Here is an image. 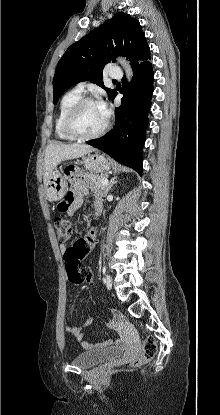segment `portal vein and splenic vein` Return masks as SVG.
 Returning a JSON list of instances; mask_svg holds the SVG:
<instances>
[{"label":"portal vein and splenic vein","mask_w":220,"mask_h":415,"mask_svg":"<svg viewBox=\"0 0 220 415\" xmlns=\"http://www.w3.org/2000/svg\"><path fill=\"white\" fill-rule=\"evenodd\" d=\"M108 182H109L108 179H104L103 182H102V185L106 186L108 184Z\"/></svg>","instance_id":"1"}]
</instances>
